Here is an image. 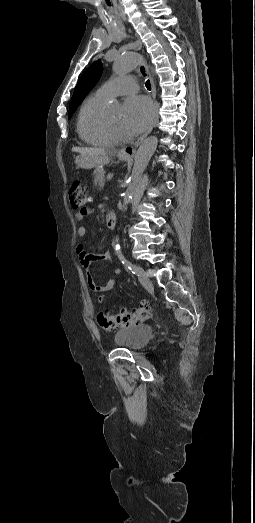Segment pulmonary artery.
Returning a JSON list of instances; mask_svg holds the SVG:
<instances>
[{
    "mask_svg": "<svg viewBox=\"0 0 255 523\" xmlns=\"http://www.w3.org/2000/svg\"><path fill=\"white\" fill-rule=\"evenodd\" d=\"M137 88L138 84L136 80L128 75H125L121 78L104 83L99 89L108 97H113L120 94L127 96L129 92H135Z\"/></svg>",
    "mask_w": 255,
    "mask_h": 523,
    "instance_id": "obj_1",
    "label": "pulmonary artery"
}]
</instances>
